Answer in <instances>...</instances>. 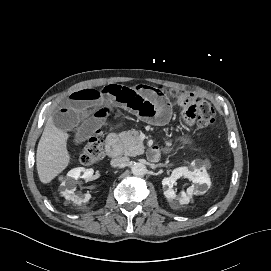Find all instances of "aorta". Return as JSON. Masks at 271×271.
I'll return each mask as SVG.
<instances>
[{
	"label": "aorta",
	"instance_id": "obj_1",
	"mask_svg": "<svg viewBox=\"0 0 271 271\" xmlns=\"http://www.w3.org/2000/svg\"><path fill=\"white\" fill-rule=\"evenodd\" d=\"M131 172L135 176H142L146 173V166L143 163H134L131 167Z\"/></svg>",
	"mask_w": 271,
	"mask_h": 271
}]
</instances>
